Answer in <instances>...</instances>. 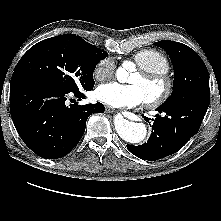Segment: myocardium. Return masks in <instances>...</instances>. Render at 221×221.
Masks as SVG:
<instances>
[{"label": "myocardium", "instance_id": "1", "mask_svg": "<svg viewBox=\"0 0 221 221\" xmlns=\"http://www.w3.org/2000/svg\"><path fill=\"white\" fill-rule=\"evenodd\" d=\"M138 73L145 79L157 81L163 85L162 91L155 97L146 100V104L150 107H158L164 104L172 95L174 90V80L168 72L148 71L140 69Z\"/></svg>", "mask_w": 221, "mask_h": 221}]
</instances>
